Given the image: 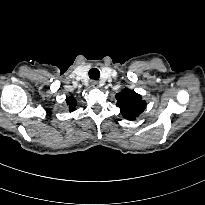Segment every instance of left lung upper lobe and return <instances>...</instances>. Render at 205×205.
<instances>
[{
    "instance_id": "left-lung-upper-lobe-1",
    "label": "left lung upper lobe",
    "mask_w": 205,
    "mask_h": 205,
    "mask_svg": "<svg viewBox=\"0 0 205 205\" xmlns=\"http://www.w3.org/2000/svg\"><path fill=\"white\" fill-rule=\"evenodd\" d=\"M116 99V105L126 119H136L146 107V102L142 100V97L128 88H124L120 93H117Z\"/></svg>"
}]
</instances>
